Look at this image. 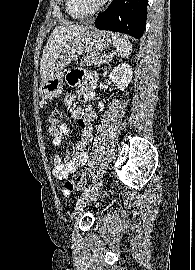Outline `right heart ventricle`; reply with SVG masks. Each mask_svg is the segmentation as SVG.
I'll use <instances>...</instances> for the list:
<instances>
[{
  "label": "right heart ventricle",
  "instance_id": "1",
  "mask_svg": "<svg viewBox=\"0 0 195 270\" xmlns=\"http://www.w3.org/2000/svg\"><path fill=\"white\" fill-rule=\"evenodd\" d=\"M67 13L74 19H85L92 15V12L84 9L78 0H65Z\"/></svg>",
  "mask_w": 195,
  "mask_h": 270
}]
</instances>
